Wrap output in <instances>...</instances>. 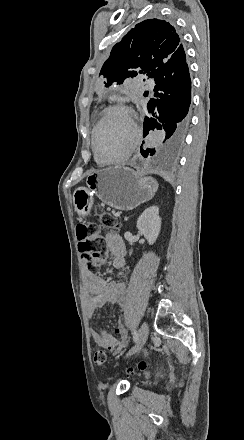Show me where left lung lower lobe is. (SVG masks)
<instances>
[{
    "mask_svg": "<svg viewBox=\"0 0 244 440\" xmlns=\"http://www.w3.org/2000/svg\"><path fill=\"white\" fill-rule=\"evenodd\" d=\"M154 80L155 94L147 104L143 136L151 130H164L165 138L157 152L168 155L181 148L190 126L191 80L186 56L177 64L163 66ZM148 153L153 155L155 150L147 149L143 156Z\"/></svg>",
    "mask_w": 244,
    "mask_h": 440,
    "instance_id": "obj_1",
    "label": "left lung lower lobe"
}]
</instances>
